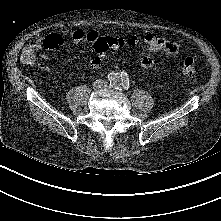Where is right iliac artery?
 I'll return each mask as SVG.
<instances>
[{
    "label": "right iliac artery",
    "mask_w": 221,
    "mask_h": 221,
    "mask_svg": "<svg viewBox=\"0 0 221 221\" xmlns=\"http://www.w3.org/2000/svg\"><path fill=\"white\" fill-rule=\"evenodd\" d=\"M108 80L110 81V83L114 80V75L113 74H108Z\"/></svg>",
    "instance_id": "obj_1"
}]
</instances>
